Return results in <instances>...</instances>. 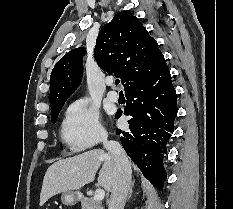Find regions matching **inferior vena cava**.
I'll return each instance as SVG.
<instances>
[{"label": "inferior vena cava", "instance_id": "obj_1", "mask_svg": "<svg viewBox=\"0 0 233 209\" xmlns=\"http://www.w3.org/2000/svg\"><path fill=\"white\" fill-rule=\"evenodd\" d=\"M104 148L113 157L115 164V180L111 191L109 209H124L131 185V165L122 146L116 141L102 139Z\"/></svg>", "mask_w": 233, "mask_h": 209}]
</instances>
